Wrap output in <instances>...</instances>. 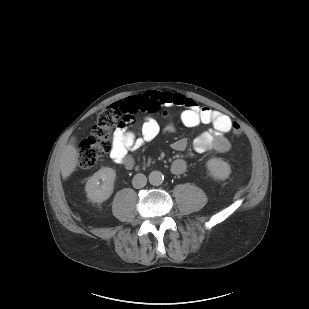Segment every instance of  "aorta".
<instances>
[{
  "mask_svg": "<svg viewBox=\"0 0 309 309\" xmlns=\"http://www.w3.org/2000/svg\"><path fill=\"white\" fill-rule=\"evenodd\" d=\"M164 180V176L160 171H152L149 174V182L151 185L158 186L161 185Z\"/></svg>",
  "mask_w": 309,
  "mask_h": 309,
  "instance_id": "762f6f07",
  "label": "aorta"
}]
</instances>
